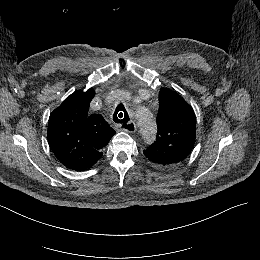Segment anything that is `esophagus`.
I'll return each mask as SVG.
<instances>
[{
    "instance_id": "esophagus-1",
    "label": "esophagus",
    "mask_w": 260,
    "mask_h": 260,
    "mask_svg": "<svg viewBox=\"0 0 260 260\" xmlns=\"http://www.w3.org/2000/svg\"><path fill=\"white\" fill-rule=\"evenodd\" d=\"M121 131L128 132V133H134L136 131V125L133 121H129L125 125L119 126Z\"/></svg>"
}]
</instances>
